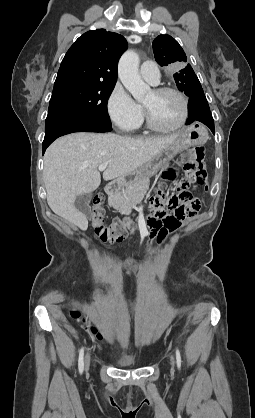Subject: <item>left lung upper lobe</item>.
Instances as JSON below:
<instances>
[{
    "instance_id": "obj_1",
    "label": "left lung upper lobe",
    "mask_w": 255,
    "mask_h": 418,
    "mask_svg": "<svg viewBox=\"0 0 255 418\" xmlns=\"http://www.w3.org/2000/svg\"><path fill=\"white\" fill-rule=\"evenodd\" d=\"M155 60L160 66L172 65L176 68L173 74L177 87L188 97L204 95L198 77L190 64L185 66L187 57L179 43L169 35H159L153 41Z\"/></svg>"
}]
</instances>
